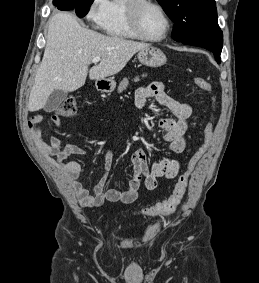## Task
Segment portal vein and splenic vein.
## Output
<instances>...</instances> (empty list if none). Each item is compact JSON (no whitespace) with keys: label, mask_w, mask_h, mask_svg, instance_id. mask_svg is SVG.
Instances as JSON below:
<instances>
[{"label":"portal vein and splenic vein","mask_w":259,"mask_h":283,"mask_svg":"<svg viewBox=\"0 0 259 283\" xmlns=\"http://www.w3.org/2000/svg\"><path fill=\"white\" fill-rule=\"evenodd\" d=\"M101 61V58H99V57H95V58H93L92 59V63H98V62H100Z\"/></svg>","instance_id":"18ae733b"}]
</instances>
